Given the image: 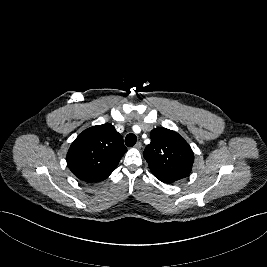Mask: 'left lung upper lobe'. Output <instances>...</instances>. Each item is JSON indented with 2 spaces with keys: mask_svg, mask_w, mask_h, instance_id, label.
<instances>
[{
  "mask_svg": "<svg viewBox=\"0 0 267 267\" xmlns=\"http://www.w3.org/2000/svg\"><path fill=\"white\" fill-rule=\"evenodd\" d=\"M150 137L143 156L153 175L171 182L187 177L194 162L190 145L177 132L163 127L153 129Z\"/></svg>",
  "mask_w": 267,
  "mask_h": 267,
  "instance_id": "left-lung-upper-lobe-1",
  "label": "left lung upper lobe"
}]
</instances>
